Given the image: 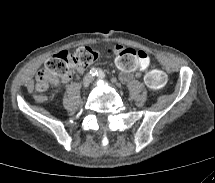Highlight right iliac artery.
I'll return each instance as SVG.
<instances>
[{
  "mask_svg": "<svg viewBox=\"0 0 215 183\" xmlns=\"http://www.w3.org/2000/svg\"><path fill=\"white\" fill-rule=\"evenodd\" d=\"M90 74H91L92 76L98 75V69L92 68V69L90 70Z\"/></svg>",
  "mask_w": 215,
  "mask_h": 183,
  "instance_id": "obj_1",
  "label": "right iliac artery"
}]
</instances>
